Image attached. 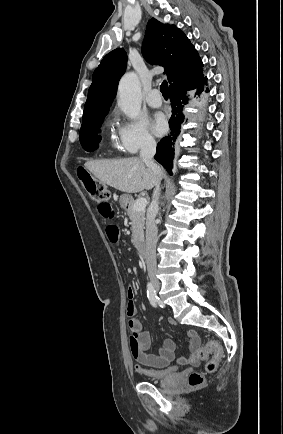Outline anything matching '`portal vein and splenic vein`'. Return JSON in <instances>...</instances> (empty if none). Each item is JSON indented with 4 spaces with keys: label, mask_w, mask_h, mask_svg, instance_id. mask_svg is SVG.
Instances as JSON below:
<instances>
[{
    "label": "portal vein and splenic vein",
    "mask_w": 283,
    "mask_h": 434,
    "mask_svg": "<svg viewBox=\"0 0 283 434\" xmlns=\"http://www.w3.org/2000/svg\"><path fill=\"white\" fill-rule=\"evenodd\" d=\"M147 205V200L146 198H139L138 200H136V202L134 203V209L136 211H144Z\"/></svg>",
    "instance_id": "18ae733b"
}]
</instances>
